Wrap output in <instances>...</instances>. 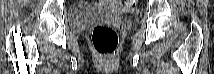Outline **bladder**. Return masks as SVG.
<instances>
[{
  "label": "bladder",
  "instance_id": "obj_1",
  "mask_svg": "<svg viewBox=\"0 0 214 74\" xmlns=\"http://www.w3.org/2000/svg\"><path fill=\"white\" fill-rule=\"evenodd\" d=\"M117 15L120 18L130 17L127 13L116 14L115 11L104 8H91L87 6H76L71 8L68 14V22L71 29L76 30L89 23L114 17Z\"/></svg>",
  "mask_w": 214,
  "mask_h": 74
}]
</instances>
